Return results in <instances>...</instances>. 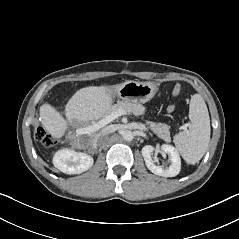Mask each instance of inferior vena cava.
<instances>
[{"label": "inferior vena cava", "mask_w": 239, "mask_h": 239, "mask_svg": "<svg viewBox=\"0 0 239 239\" xmlns=\"http://www.w3.org/2000/svg\"><path fill=\"white\" fill-rule=\"evenodd\" d=\"M111 133V130L109 128L103 129L101 132H99L94 140V144L97 142H102L104 138H106Z\"/></svg>", "instance_id": "inferior-vena-cava-1"}]
</instances>
